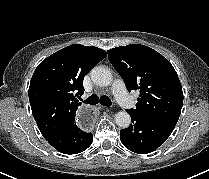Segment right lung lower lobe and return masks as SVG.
<instances>
[{"label": "right lung lower lobe", "mask_w": 209, "mask_h": 179, "mask_svg": "<svg viewBox=\"0 0 209 179\" xmlns=\"http://www.w3.org/2000/svg\"><path fill=\"white\" fill-rule=\"evenodd\" d=\"M92 140L93 135L81 130L74 122L47 141L61 153L77 154L86 150Z\"/></svg>", "instance_id": "1"}]
</instances>
